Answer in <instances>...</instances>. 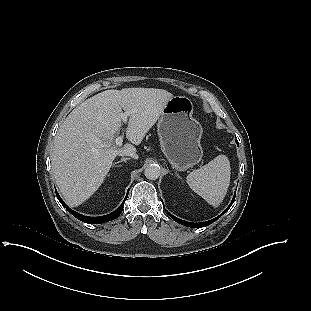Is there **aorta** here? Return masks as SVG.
I'll return each instance as SVG.
<instances>
[{
	"label": "aorta",
	"mask_w": 311,
	"mask_h": 311,
	"mask_svg": "<svg viewBox=\"0 0 311 311\" xmlns=\"http://www.w3.org/2000/svg\"><path fill=\"white\" fill-rule=\"evenodd\" d=\"M161 174L160 167L157 165H149L144 170V175L149 180H156Z\"/></svg>",
	"instance_id": "aorta-1"
}]
</instances>
